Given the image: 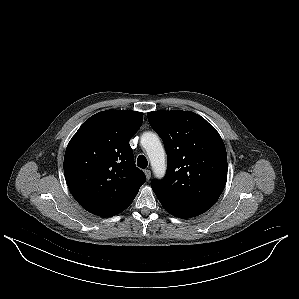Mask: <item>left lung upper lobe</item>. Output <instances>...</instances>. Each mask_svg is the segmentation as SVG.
<instances>
[{"instance_id": "1", "label": "left lung upper lobe", "mask_w": 299, "mask_h": 299, "mask_svg": "<svg viewBox=\"0 0 299 299\" xmlns=\"http://www.w3.org/2000/svg\"><path fill=\"white\" fill-rule=\"evenodd\" d=\"M147 115L168 156L166 176L151 182L154 193L176 204L213 206L227 180V154L219 133L194 112Z\"/></svg>"}]
</instances>
